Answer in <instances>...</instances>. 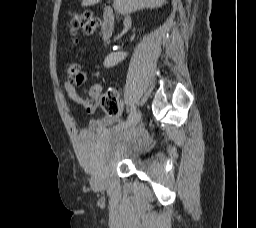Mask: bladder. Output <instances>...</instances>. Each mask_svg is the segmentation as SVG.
Here are the masks:
<instances>
[{
    "label": "bladder",
    "mask_w": 256,
    "mask_h": 228,
    "mask_svg": "<svg viewBox=\"0 0 256 228\" xmlns=\"http://www.w3.org/2000/svg\"><path fill=\"white\" fill-rule=\"evenodd\" d=\"M140 132L117 126L100 136L81 135L79 153L95 177L114 164L134 158L146 144Z\"/></svg>",
    "instance_id": "obj_1"
}]
</instances>
